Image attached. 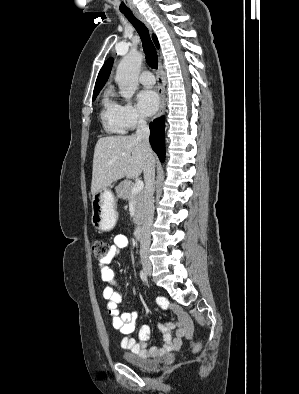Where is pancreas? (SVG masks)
Instances as JSON below:
<instances>
[{
	"mask_svg": "<svg viewBox=\"0 0 299 394\" xmlns=\"http://www.w3.org/2000/svg\"><path fill=\"white\" fill-rule=\"evenodd\" d=\"M133 187H134V183L132 181L124 180L118 185L116 191H117V196L120 198H123L128 201L133 199L135 205V215L133 221L135 224H138L143 211L144 192L141 191L133 195L132 194Z\"/></svg>",
	"mask_w": 299,
	"mask_h": 394,
	"instance_id": "obj_1",
	"label": "pancreas"
}]
</instances>
